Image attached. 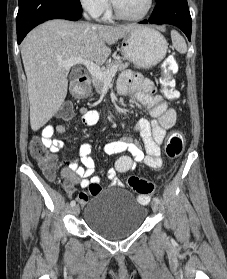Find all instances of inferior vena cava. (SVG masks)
Instances as JSON below:
<instances>
[{
    "mask_svg": "<svg viewBox=\"0 0 227 279\" xmlns=\"http://www.w3.org/2000/svg\"><path fill=\"white\" fill-rule=\"evenodd\" d=\"M84 17H85L86 19H89L88 15H87L86 13H84Z\"/></svg>",
    "mask_w": 227,
    "mask_h": 279,
    "instance_id": "602c4592",
    "label": "inferior vena cava"
}]
</instances>
